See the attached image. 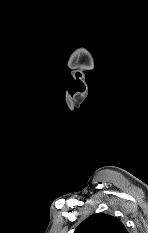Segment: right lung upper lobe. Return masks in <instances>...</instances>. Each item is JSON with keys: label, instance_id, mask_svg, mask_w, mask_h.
I'll return each mask as SVG.
<instances>
[{"label": "right lung upper lobe", "instance_id": "cb5924a9", "mask_svg": "<svg viewBox=\"0 0 148 233\" xmlns=\"http://www.w3.org/2000/svg\"><path fill=\"white\" fill-rule=\"evenodd\" d=\"M74 233H128V231L115 217L98 213L85 219Z\"/></svg>", "mask_w": 148, "mask_h": 233}]
</instances>
